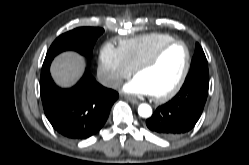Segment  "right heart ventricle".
I'll return each instance as SVG.
<instances>
[{
  "instance_id": "obj_1",
  "label": "right heart ventricle",
  "mask_w": 249,
  "mask_h": 165,
  "mask_svg": "<svg viewBox=\"0 0 249 165\" xmlns=\"http://www.w3.org/2000/svg\"><path fill=\"white\" fill-rule=\"evenodd\" d=\"M174 40V37L161 32L139 35L120 41L119 49L127 65L134 70L163 44Z\"/></svg>"
}]
</instances>
